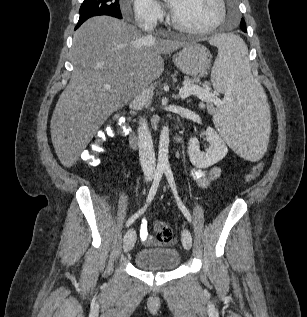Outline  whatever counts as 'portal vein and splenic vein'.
<instances>
[{
  "label": "portal vein and splenic vein",
  "instance_id": "1",
  "mask_svg": "<svg viewBox=\"0 0 307 317\" xmlns=\"http://www.w3.org/2000/svg\"><path fill=\"white\" fill-rule=\"evenodd\" d=\"M104 87L105 89H110L111 85L105 84ZM179 95L183 99L190 95H196L199 99L203 101H211L217 105L222 104L220 99L217 96H215L214 93L194 84L185 83L183 87L180 89Z\"/></svg>",
  "mask_w": 307,
  "mask_h": 317
}]
</instances>
